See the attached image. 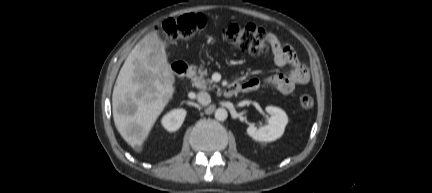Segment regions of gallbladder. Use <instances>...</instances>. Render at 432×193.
<instances>
[{"instance_id":"1","label":"gallbladder","mask_w":432,"mask_h":193,"mask_svg":"<svg viewBox=\"0 0 432 193\" xmlns=\"http://www.w3.org/2000/svg\"><path fill=\"white\" fill-rule=\"evenodd\" d=\"M164 45H165V46H168V43L164 41ZM118 111H119V109H118Z\"/></svg>"}]
</instances>
